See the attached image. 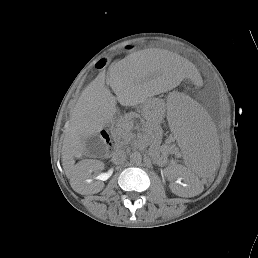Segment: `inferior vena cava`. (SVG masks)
I'll return each mask as SVG.
<instances>
[{"label":"inferior vena cava","instance_id":"inferior-vena-cava-1","mask_svg":"<svg viewBox=\"0 0 258 258\" xmlns=\"http://www.w3.org/2000/svg\"><path fill=\"white\" fill-rule=\"evenodd\" d=\"M125 158L126 154L123 151H118L114 156V159L117 163H123L125 161Z\"/></svg>","mask_w":258,"mask_h":258}]
</instances>
